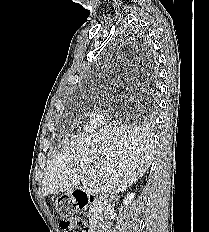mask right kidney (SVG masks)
<instances>
[{
    "instance_id": "right-kidney-1",
    "label": "right kidney",
    "mask_w": 209,
    "mask_h": 232,
    "mask_svg": "<svg viewBox=\"0 0 209 232\" xmlns=\"http://www.w3.org/2000/svg\"><path fill=\"white\" fill-rule=\"evenodd\" d=\"M134 197H135V193H130L129 195H127L123 202L124 205L127 206L129 203H131Z\"/></svg>"
}]
</instances>
